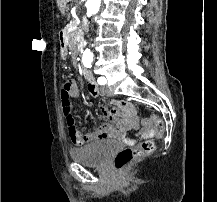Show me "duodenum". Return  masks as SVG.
Wrapping results in <instances>:
<instances>
[{
	"label": "duodenum",
	"mask_w": 217,
	"mask_h": 202,
	"mask_svg": "<svg viewBox=\"0 0 217 202\" xmlns=\"http://www.w3.org/2000/svg\"><path fill=\"white\" fill-rule=\"evenodd\" d=\"M59 43H60L62 55L65 56L66 55L67 38H66V33L63 30L59 33ZM83 75H84V77L88 83L94 82V77L89 70L83 69Z\"/></svg>",
	"instance_id": "obj_1"
}]
</instances>
